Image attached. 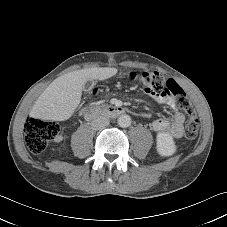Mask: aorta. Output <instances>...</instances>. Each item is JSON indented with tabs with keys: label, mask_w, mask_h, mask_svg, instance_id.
Instances as JSON below:
<instances>
[{
	"label": "aorta",
	"mask_w": 227,
	"mask_h": 227,
	"mask_svg": "<svg viewBox=\"0 0 227 227\" xmlns=\"http://www.w3.org/2000/svg\"><path fill=\"white\" fill-rule=\"evenodd\" d=\"M118 125L122 128H127L131 125V117L129 115H121L118 118Z\"/></svg>",
	"instance_id": "obj_1"
}]
</instances>
